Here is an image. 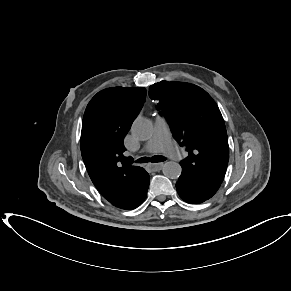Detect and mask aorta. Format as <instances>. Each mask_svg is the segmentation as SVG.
Listing matches in <instances>:
<instances>
[{
  "label": "aorta",
  "mask_w": 291,
  "mask_h": 291,
  "mask_svg": "<svg viewBox=\"0 0 291 291\" xmlns=\"http://www.w3.org/2000/svg\"><path fill=\"white\" fill-rule=\"evenodd\" d=\"M135 138L145 141L153 135V124L149 119L137 118L131 128ZM182 168L179 163L169 161L164 164L163 174L170 179H177L181 175Z\"/></svg>",
  "instance_id": "obj_1"
}]
</instances>
